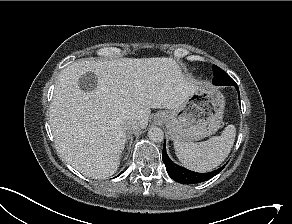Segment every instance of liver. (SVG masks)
I'll return each instance as SVG.
<instances>
[{
	"instance_id": "1",
	"label": "liver",
	"mask_w": 292,
	"mask_h": 224,
	"mask_svg": "<svg viewBox=\"0 0 292 224\" xmlns=\"http://www.w3.org/2000/svg\"><path fill=\"white\" fill-rule=\"evenodd\" d=\"M88 72L97 82L84 92L79 80ZM199 84L167 57L76 61L59 74L50 105L56 148L83 175L112 176L126 144L122 121L132 118L144 129L151 108L176 109Z\"/></svg>"
}]
</instances>
